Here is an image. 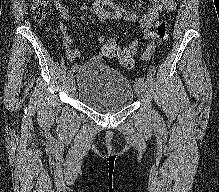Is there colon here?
I'll use <instances>...</instances> for the list:
<instances>
[{
	"instance_id": "obj_1",
	"label": "colon",
	"mask_w": 219,
	"mask_h": 192,
	"mask_svg": "<svg viewBox=\"0 0 219 192\" xmlns=\"http://www.w3.org/2000/svg\"><path fill=\"white\" fill-rule=\"evenodd\" d=\"M30 8L32 15L38 21H44L50 14V0H31ZM169 23L165 20L159 22L151 33V38L146 43V52H153L156 46L167 38ZM137 45L121 47L117 40H107L102 48L101 55L105 58L116 59L125 67L134 64V53Z\"/></svg>"
}]
</instances>
